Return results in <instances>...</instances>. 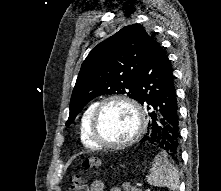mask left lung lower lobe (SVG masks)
Returning <instances> with one entry per match:
<instances>
[{
	"label": "left lung lower lobe",
	"mask_w": 221,
	"mask_h": 191,
	"mask_svg": "<svg viewBox=\"0 0 221 191\" xmlns=\"http://www.w3.org/2000/svg\"><path fill=\"white\" fill-rule=\"evenodd\" d=\"M137 101L147 103L148 131L142 142H149L177 159L179 113L173 70L160 44L152 39L138 77Z\"/></svg>",
	"instance_id": "left-lung-lower-lobe-1"
}]
</instances>
